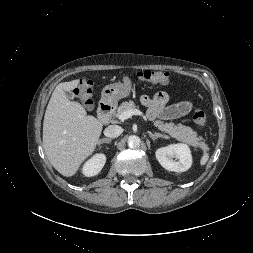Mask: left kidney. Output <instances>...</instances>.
I'll use <instances>...</instances> for the list:
<instances>
[{
    "label": "left kidney",
    "mask_w": 253,
    "mask_h": 253,
    "mask_svg": "<svg viewBox=\"0 0 253 253\" xmlns=\"http://www.w3.org/2000/svg\"><path fill=\"white\" fill-rule=\"evenodd\" d=\"M156 158L163 168L174 172L187 171L192 165L190 148L182 143L157 149Z\"/></svg>",
    "instance_id": "5707ae66"
}]
</instances>
